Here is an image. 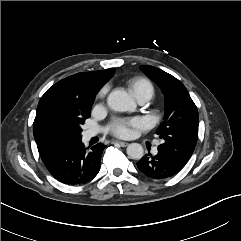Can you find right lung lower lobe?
I'll return each mask as SVG.
<instances>
[{
	"mask_svg": "<svg viewBox=\"0 0 241 241\" xmlns=\"http://www.w3.org/2000/svg\"><path fill=\"white\" fill-rule=\"evenodd\" d=\"M105 147L99 143L87 150L80 139L57 146L42 154L41 158L55 179L68 185H81L98 174Z\"/></svg>",
	"mask_w": 241,
	"mask_h": 241,
	"instance_id": "98d812e1",
	"label": "right lung lower lobe"
}]
</instances>
